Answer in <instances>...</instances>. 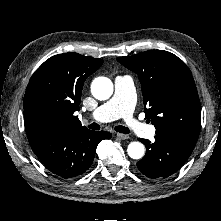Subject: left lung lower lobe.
I'll return each mask as SVG.
<instances>
[{
	"label": "left lung lower lobe",
	"instance_id": "left-lung-lower-lobe-1",
	"mask_svg": "<svg viewBox=\"0 0 221 221\" xmlns=\"http://www.w3.org/2000/svg\"><path fill=\"white\" fill-rule=\"evenodd\" d=\"M146 146V155L137 162L138 169L149 178H166L174 174L192 153L196 141L172 134H156L152 143L139 139Z\"/></svg>",
	"mask_w": 221,
	"mask_h": 221
}]
</instances>
